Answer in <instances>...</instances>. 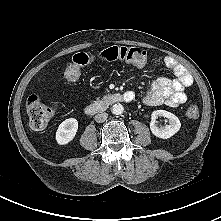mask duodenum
<instances>
[{"label":"duodenum","instance_id":"obj_1","mask_svg":"<svg viewBox=\"0 0 221 221\" xmlns=\"http://www.w3.org/2000/svg\"><path fill=\"white\" fill-rule=\"evenodd\" d=\"M133 99V95L129 92L124 94H115L112 97L113 102H130ZM107 103L104 101H95L86 107V111L91 114L101 113L105 111Z\"/></svg>","mask_w":221,"mask_h":221}]
</instances>
